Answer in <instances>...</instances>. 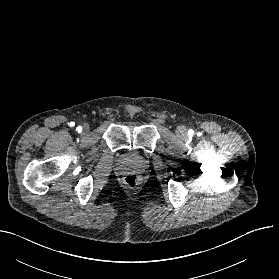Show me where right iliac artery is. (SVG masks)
<instances>
[{
	"mask_svg": "<svg viewBox=\"0 0 279 279\" xmlns=\"http://www.w3.org/2000/svg\"><path fill=\"white\" fill-rule=\"evenodd\" d=\"M77 130H78V132H81V131H82V127H81V126H78V127H77Z\"/></svg>",
	"mask_w": 279,
	"mask_h": 279,
	"instance_id": "1",
	"label": "right iliac artery"
}]
</instances>
